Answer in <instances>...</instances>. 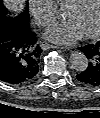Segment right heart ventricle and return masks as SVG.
<instances>
[{"label":"right heart ventricle","instance_id":"right-heart-ventricle-1","mask_svg":"<svg viewBox=\"0 0 100 118\" xmlns=\"http://www.w3.org/2000/svg\"><path fill=\"white\" fill-rule=\"evenodd\" d=\"M54 1L60 5H67L71 0H54Z\"/></svg>","mask_w":100,"mask_h":118}]
</instances>
